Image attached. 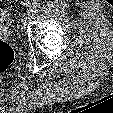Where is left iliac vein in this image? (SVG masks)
Here are the masks:
<instances>
[{"mask_svg":"<svg viewBox=\"0 0 113 113\" xmlns=\"http://www.w3.org/2000/svg\"><path fill=\"white\" fill-rule=\"evenodd\" d=\"M32 12L30 10H27L23 15H22V24L26 25V23L29 21V19L32 17Z\"/></svg>","mask_w":113,"mask_h":113,"instance_id":"obj_1","label":"left iliac vein"}]
</instances>
